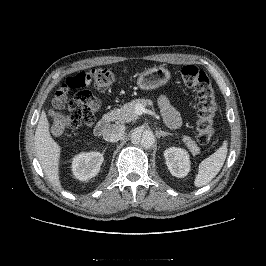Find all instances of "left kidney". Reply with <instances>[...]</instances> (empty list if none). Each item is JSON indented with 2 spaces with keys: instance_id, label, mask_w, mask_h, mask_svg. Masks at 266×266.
I'll list each match as a JSON object with an SVG mask.
<instances>
[{
  "instance_id": "1",
  "label": "left kidney",
  "mask_w": 266,
  "mask_h": 266,
  "mask_svg": "<svg viewBox=\"0 0 266 266\" xmlns=\"http://www.w3.org/2000/svg\"><path fill=\"white\" fill-rule=\"evenodd\" d=\"M165 164L170 173L178 178L185 177L190 171V160L186 150L170 147L164 151Z\"/></svg>"
}]
</instances>
